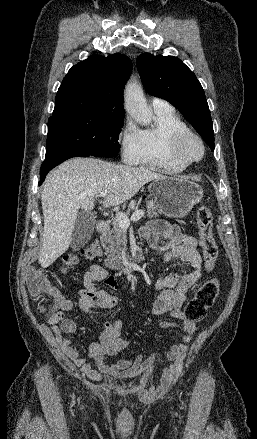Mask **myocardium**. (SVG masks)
<instances>
[{"mask_svg": "<svg viewBox=\"0 0 257 439\" xmlns=\"http://www.w3.org/2000/svg\"><path fill=\"white\" fill-rule=\"evenodd\" d=\"M191 140L196 141L201 148V154L198 158H190L185 153L184 148ZM170 152L178 162L188 166L200 162L205 156L206 148L201 136L190 130H185L172 137L170 141Z\"/></svg>", "mask_w": 257, "mask_h": 439, "instance_id": "obj_1", "label": "myocardium"}]
</instances>
